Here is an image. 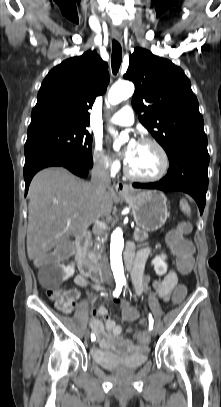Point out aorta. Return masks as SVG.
<instances>
[{
    "instance_id": "aorta-1",
    "label": "aorta",
    "mask_w": 221,
    "mask_h": 407,
    "mask_svg": "<svg viewBox=\"0 0 221 407\" xmlns=\"http://www.w3.org/2000/svg\"><path fill=\"white\" fill-rule=\"evenodd\" d=\"M134 93V85L124 81L114 84L108 93V103L116 105L124 99L132 96ZM108 104V105H109ZM124 248L123 232L120 228H116L111 235L110 243V259L111 269L116 281H124V269L122 261V251Z\"/></svg>"
}]
</instances>
